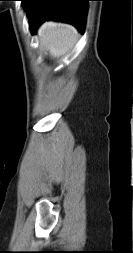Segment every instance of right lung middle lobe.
<instances>
[{"mask_svg": "<svg viewBox=\"0 0 133 253\" xmlns=\"http://www.w3.org/2000/svg\"><path fill=\"white\" fill-rule=\"evenodd\" d=\"M24 4H25V6H27V4H28V2L30 1V0H21Z\"/></svg>", "mask_w": 133, "mask_h": 253, "instance_id": "dd1d6c3e", "label": "right lung middle lobe"}]
</instances>
